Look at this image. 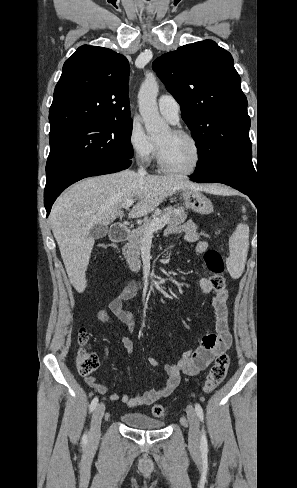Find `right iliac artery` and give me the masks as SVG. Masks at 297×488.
I'll list each match as a JSON object with an SVG mask.
<instances>
[{"mask_svg":"<svg viewBox=\"0 0 297 488\" xmlns=\"http://www.w3.org/2000/svg\"><path fill=\"white\" fill-rule=\"evenodd\" d=\"M97 403H98V397H95L92 401H91V404H90V412H92L95 407L97 406ZM83 442L86 443L87 442V434H84L83 436Z\"/></svg>","mask_w":297,"mask_h":488,"instance_id":"obj_1","label":"right iliac artery"}]
</instances>
